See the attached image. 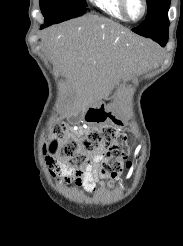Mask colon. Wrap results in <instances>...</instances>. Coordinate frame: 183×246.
Here are the masks:
<instances>
[{
    "mask_svg": "<svg viewBox=\"0 0 183 246\" xmlns=\"http://www.w3.org/2000/svg\"><path fill=\"white\" fill-rule=\"evenodd\" d=\"M90 115L95 122H103L109 116L104 109L93 110ZM43 150L45 154L56 156L60 162L77 171L90 163L93 153L105 150L106 157L99 174L108 185L114 183L128 155L126 136L113 125L89 127L79 138L65 124L58 123L51 129Z\"/></svg>",
    "mask_w": 183,
    "mask_h": 246,
    "instance_id": "obj_1",
    "label": "colon"
}]
</instances>
